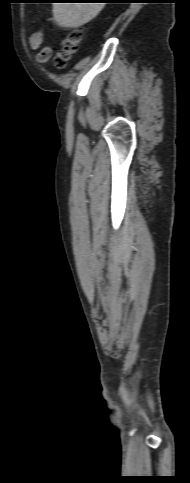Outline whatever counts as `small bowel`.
Instances as JSON below:
<instances>
[{
  "label": "small bowel",
  "mask_w": 190,
  "mask_h": 483,
  "mask_svg": "<svg viewBox=\"0 0 190 483\" xmlns=\"http://www.w3.org/2000/svg\"><path fill=\"white\" fill-rule=\"evenodd\" d=\"M55 23H56V20L53 17H48L45 20L46 25H52ZM46 34H47L46 29L41 28L35 33H33L29 39L30 47L34 50H39L37 54V60L41 63L47 62L52 55L51 47L44 44ZM66 42H67V39H64L63 43H66Z\"/></svg>",
  "instance_id": "c3829d8e"
}]
</instances>
